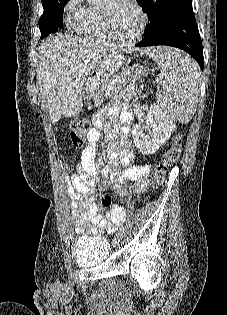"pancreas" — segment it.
<instances>
[{
	"mask_svg": "<svg viewBox=\"0 0 227 315\" xmlns=\"http://www.w3.org/2000/svg\"><path fill=\"white\" fill-rule=\"evenodd\" d=\"M144 73L145 69L142 66L134 65L130 68L123 69L122 72L117 75H106L101 81L95 78L90 79L88 82L90 88L89 97L94 99L96 105H99L103 97H110L111 94L119 92L123 86L140 79L141 75ZM115 78L118 80L117 83L111 85ZM98 84H101V86L96 88Z\"/></svg>",
	"mask_w": 227,
	"mask_h": 315,
	"instance_id": "pancreas-1",
	"label": "pancreas"
}]
</instances>
